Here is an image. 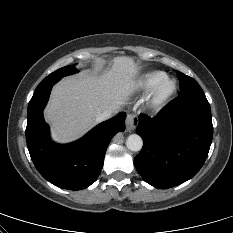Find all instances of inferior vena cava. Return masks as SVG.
I'll use <instances>...</instances> for the list:
<instances>
[{"instance_id":"inferior-vena-cava-1","label":"inferior vena cava","mask_w":233,"mask_h":233,"mask_svg":"<svg viewBox=\"0 0 233 233\" xmlns=\"http://www.w3.org/2000/svg\"><path fill=\"white\" fill-rule=\"evenodd\" d=\"M118 112V108H114L112 110H106L104 111L103 113L99 114L97 117H96V121L97 122H102V121H105L109 118H111L114 114H116Z\"/></svg>"}]
</instances>
